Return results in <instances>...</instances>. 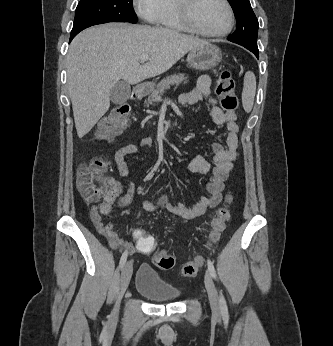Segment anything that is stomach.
Returning <instances> with one entry per match:
<instances>
[{
	"instance_id": "1",
	"label": "stomach",
	"mask_w": 333,
	"mask_h": 346,
	"mask_svg": "<svg viewBox=\"0 0 333 346\" xmlns=\"http://www.w3.org/2000/svg\"><path fill=\"white\" fill-rule=\"evenodd\" d=\"M222 60L221 50L210 43L192 49L188 56L187 62L190 67L196 70H209L216 67ZM154 87V83L146 82L137 88L140 96L148 95Z\"/></svg>"
}]
</instances>
